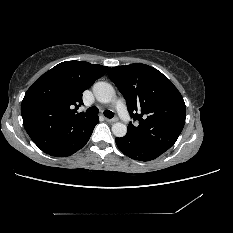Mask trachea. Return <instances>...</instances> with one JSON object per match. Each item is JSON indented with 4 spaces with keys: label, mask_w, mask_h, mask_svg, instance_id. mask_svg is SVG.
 I'll return each mask as SVG.
<instances>
[{
    "label": "trachea",
    "mask_w": 233,
    "mask_h": 233,
    "mask_svg": "<svg viewBox=\"0 0 233 233\" xmlns=\"http://www.w3.org/2000/svg\"><path fill=\"white\" fill-rule=\"evenodd\" d=\"M99 113V109L96 106H92L90 108L87 109V114L88 115H97ZM104 116H106L107 118L111 119L114 116V113L112 111L106 110L103 112Z\"/></svg>",
    "instance_id": "trachea-1"
}]
</instances>
